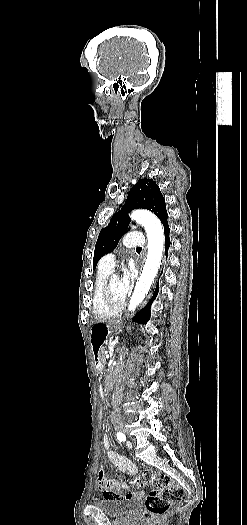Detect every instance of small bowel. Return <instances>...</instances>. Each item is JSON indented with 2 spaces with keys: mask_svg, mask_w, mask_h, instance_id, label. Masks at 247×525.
<instances>
[{
  "mask_svg": "<svg viewBox=\"0 0 247 525\" xmlns=\"http://www.w3.org/2000/svg\"><path fill=\"white\" fill-rule=\"evenodd\" d=\"M103 446L106 452L107 459L121 472L129 473V474H135L137 472L136 466L125 456L119 455L115 452V450L112 447V442L110 439V436L108 434H105L103 436ZM97 481L99 484V488L102 491H105L107 495H110L113 491L116 490L117 485L115 482H113L112 479L105 477V474L102 470H100L97 474ZM128 486L125 484L121 488H127ZM107 500L110 501H119L122 496L119 493L117 496H110L106 497Z\"/></svg>",
  "mask_w": 247,
  "mask_h": 525,
  "instance_id": "1",
  "label": "small bowel"
}]
</instances>
